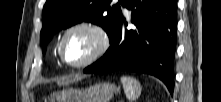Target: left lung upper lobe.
Segmentation results:
<instances>
[{
	"label": "left lung upper lobe",
	"mask_w": 221,
	"mask_h": 102,
	"mask_svg": "<svg viewBox=\"0 0 221 102\" xmlns=\"http://www.w3.org/2000/svg\"><path fill=\"white\" fill-rule=\"evenodd\" d=\"M112 0H47L42 14L40 43L46 45L53 34L62 28L70 27L82 21L100 25L111 39L122 18L119 3L124 6L126 0L111 5ZM45 52V48L43 49Z\"/></svg>",
	"instance_id": "5c2ea615"
}]
</instances>
